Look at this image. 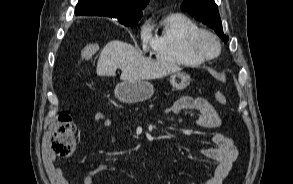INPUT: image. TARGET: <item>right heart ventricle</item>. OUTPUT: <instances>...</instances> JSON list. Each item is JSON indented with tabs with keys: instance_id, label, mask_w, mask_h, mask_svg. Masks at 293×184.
Wrapping results in <instances>:
<instances>
[{
	"instance_id": "e07e8e85",
	"label": "right heart ventricle",
	"mask_w": 293,
	"mask_h": 184,
	"mask_svg": "<svg viewBox=\"0 0 293 184\" xmlns=\"http://www.w3.org/2000/svg\"><path fill=\"white\" fill-rule=\"evenodd\" d=\"M199 26L189 17L172 13L165 16L154 36L153 53L163 62L182 65L197 66L203 60L195 57L189 50L190 37L198 31Z\"/></svg>"
}]
</instances>
